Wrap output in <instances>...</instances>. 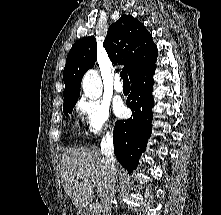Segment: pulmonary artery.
I'll return each instance as SVG.
<instances>
[{
  "label": "pulmonary artery",
  "instance_id": "e3ab8cb5",
  "mask_svg": "<svg viewBox=\"0 0 221 215\" xmlns=\"http://www.w3.org/2000/svg\"><path fill=\"white\" fill-rule=\"evenodd\" d=\"M114 89L115 91L117 92H122L123 91V83L121 82V77L120 75H116L115 78H114Z\"/></svg>",
  "mask_w": 221,
  "mask_h": 215
}]
</instances>
